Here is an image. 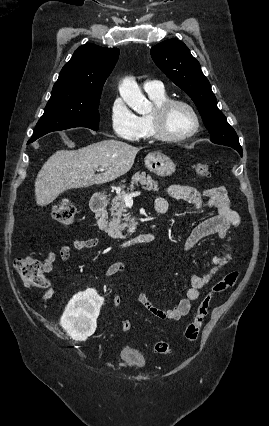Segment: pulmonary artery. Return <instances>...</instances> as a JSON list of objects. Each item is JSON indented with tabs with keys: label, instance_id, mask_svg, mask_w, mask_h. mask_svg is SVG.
<instances>
[{
	"label": "pulmonary artery",
	"instance_id": "pulmonary-artery-1",
	"mask_svg": "<svg viewBox=\"0 0 269 426\" xmlns=\"http://www.w3.org/2000/svg\"><path fill=\"white\" fill-rule=\"evenodd\" d=\"M143 88L148 94H162L164 93L163 84L159 81H145Z\"/></svg>",
	"mask_w": 269,
	"mask_h": 426
}]
</instances>
